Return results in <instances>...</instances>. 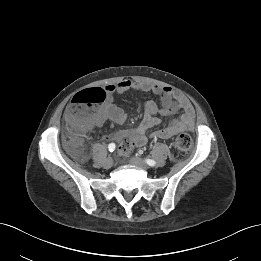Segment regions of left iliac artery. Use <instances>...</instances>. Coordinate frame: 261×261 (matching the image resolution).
Wrapping results in <instances>:
<instances>
[{
  "label": "left iliac artery",
  "instance_id": "1",
  "mask_svg": "<svg viewBox=\"0 0 261 261\" xmlns=\"http://www.w3.org/2000/svg\"><path fill=\"white\" fill-rule=\"evenodd\" d=\"M145 162L149 165V166H155L156 162L152 159H145Z\"/></svg>",
  "mask_w": 261,
  "mask_h": 261
}]
</instances>
